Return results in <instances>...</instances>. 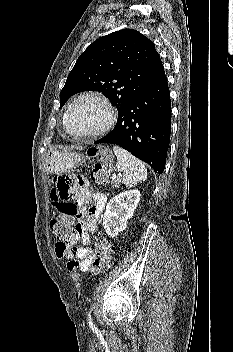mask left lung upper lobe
I'll list each match as a JSON object with an SVG mask.
<instances>
[{"instance_id":"obj_1","label":"left lung upper lobe","mask_w":233,"mask_h":352,"mask_svg":"<svg viewBox=\"0 0 233 352\" xmlns=\"http://www.w3.org/2000/svg\"><path fill=\"white\" fill-rule=\"evenodd\" d=\"M154 43L133 29L102 36L79 56L60 92V106L83 91H99L118 114L164 75Z\"/></svg>"}]
</instances>
